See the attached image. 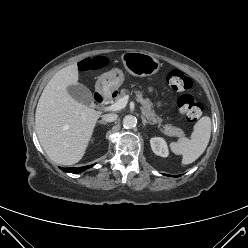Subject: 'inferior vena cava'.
Instances as JSON below:
<instances>
[{
	"instance_id": "1",
	"label": "inferior vena cava",
	"mask_w": 248,
	"mask_h": 248,
	"mask_svg": "<svg viewBox=\"0 0 248 248\" xmlns=\"http://www.w3.org/2000/svg\"><path fill=\"white\" fill-rule=\"evenodd\" d=\"M117 114H105L102 116V120L105 121V122H113L117 119Z\"/></svg>"
}]
</instances>
